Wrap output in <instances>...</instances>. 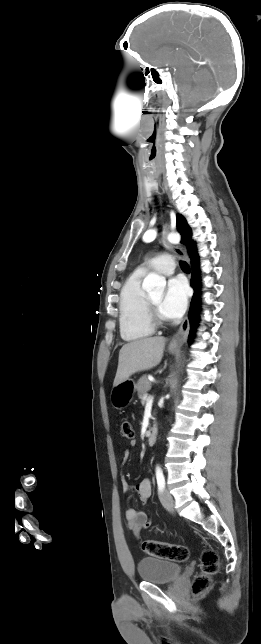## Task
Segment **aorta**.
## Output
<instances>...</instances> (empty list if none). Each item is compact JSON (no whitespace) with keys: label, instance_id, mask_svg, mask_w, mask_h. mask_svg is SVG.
Listing matches in <instances>:
<instances>
[{"label":"aorta","instance_id":"aorta-1","mask_svg":"<svg viewBox=\"0 0 261 644\" xmlns=\"http://www.w3.org/2000/svg\"><path fill=\"white\" fill-rule=\"evenodd\" d=\"M172 241H174V239H172ZM165 286H166L165 278L155 273L148 274L145 277L142 284V288L147 292H156V293L162 292Z\"/></svg>","mask_w":261,"mask_h":644}]
</instances>
